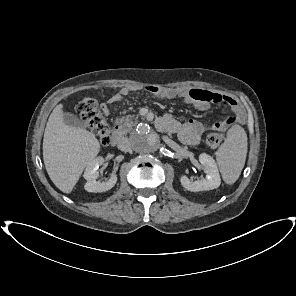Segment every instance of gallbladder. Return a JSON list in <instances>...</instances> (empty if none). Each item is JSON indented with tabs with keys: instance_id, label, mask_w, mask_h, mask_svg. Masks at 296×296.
Segmentation results:
<instances>
[{
	"instance_id": "obj_1",
	"label": "gallbladder",
	"mask_w": 296,
	"mask_h": 296,
	"mask_svg": "<svg viewBox=\"0 0 296 296\" xmlns=\"http://www.w3.org/2000/svg\"><path fill=\"white\" fill-rule=\"evenodd\" d=\"M63 119H64V122L69 126H73L77 128L85 127V122L80 120L76 115L72 113H64Z\"/></svg>"
}]
</instances>
